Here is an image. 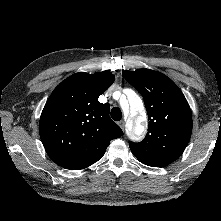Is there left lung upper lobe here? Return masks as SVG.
Masks as SVG:
<instances>
[{"mask_svg": "<svg viewBox=\"0 0 221 221\" xmlns=\"http://www.w3.org/2000/svg\"><path fill=\"white\" fill-rule=\"evenodd\" d=\"M124 78L144 98L149 126L146 137L129 146L145 165L164 167L186 148L192 132V114L186 98L166 75L149 70L124 71Z\"/></svg>", "mask_w": 221, "mask_h": 221, "instance_id": "left-lung-upper-lobe-1", "label": "left lung upper lobe"}]
</instances>
